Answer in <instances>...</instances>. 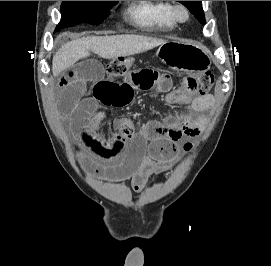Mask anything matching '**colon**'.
I'll return each instance as SVG.
<instances>
[{
  "label": "colon",
  "instance_id": "colon-1",
  "mask_svg": "<svg viewBox=\"0 0 271 266\" xmlns=\"http://www.w3.org/2000/svg\"><path fill=\"white\" fill-rule=\"evenodd\" d=\"M132 58H119L108 62L105 66L106 73L110 77L122 76L132 65ZM214 83V75L211 71H202L197 74L186 76L182 81V89L188 93L207 95ZM192 147L191 143L184 146L186 151Z\"/></svg>",
  "mask_w": 271,
  "mask_h": 266
}]
</instances>
